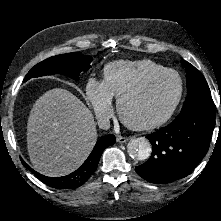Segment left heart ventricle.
<instances>
[{"label": "left heart ventricle", "instance_id": "1", "mask_svg": "<svg viewBox=\"0 0 221 221\" xmlns=\"http://www.w3.org/2000/svg\"><path fill=\"white\" fill-rule=\"evenodd\" d=\"M178 89V80L174 75L161 76L125 103V115L137 123L154 120L170 108Z\"/></svg>", "mask_w": 221, "mask_h": 221}]
</instances>
